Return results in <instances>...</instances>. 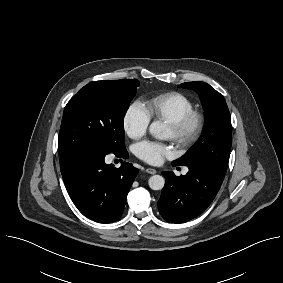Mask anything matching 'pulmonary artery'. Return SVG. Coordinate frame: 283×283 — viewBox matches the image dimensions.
Instances as JSON below:
<instances>
[{
	"label": "pulmonary artery",
	"mask_w": 283,
	"mask_h": 283,
	"mask_svg": "<svg viewBox=\"0 0 283 283\" xmlns=\"http://www.w3.org/2000/svg\"><path fill=\"white\" fill-rule=\"evenodd\" d=\"M184 172L186 173V172H187V169H185Z\"/></svg>",
	"instance_id": "pulmonary-artery-1"
}]
</instances>
